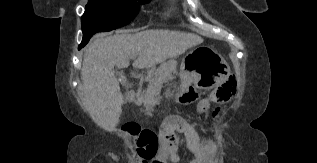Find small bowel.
I'll return each mask as SVG.
<instances>
[{"label":"small bowel","mask_w":317,"mask_h":163,"mask_svg":"<svg viewBox=\"0 0 317 163\" xmlns=\"http://www.w3.org/2000/svg\"><path fill=\"white\" fill-rule=\"evenodd\" d=\"M160 151L151 163H179L178 151L188 149L189 163H210L211 152L202 144L194 127L181 117H169L158 132Z\"/></svg>","instance_id":"c3829d8e"}]
</instances>
